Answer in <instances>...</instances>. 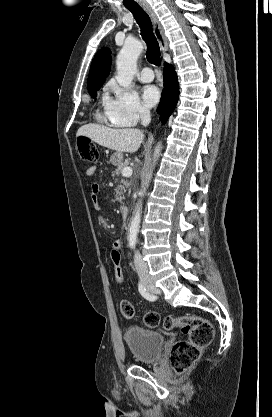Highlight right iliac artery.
<instances>
[{
	"instance_id": "82829eb1",
	"label": "right iliac artery",
	"mask_w": 272,
	"mask_h": 417,
	"mask_svg": "<svg viewBox=\"0 0 272 417\" xmlns=\"http://www.w3.org/2000/svg\"><path fill=\"white\" fill-rule=\"evenodd\" d=\"M138 290H139L140 294H141V295H142L145 299H147V300H149V301H155V300H156V297H155L154 295L150 294V293L146 290V288L143 286V284H142V283H140V282H139V284H138Z\"/></svg>"
}]
</instances>
